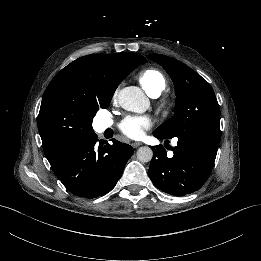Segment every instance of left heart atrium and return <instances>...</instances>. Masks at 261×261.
<instances>
[{
    "label": "left heart atrium",
    "mask_w": 261,
    "mask_h": 261,
    "mask_svg": "<svg viewBox=\"0 0 261 261\" xmlns=\"http://www.w3.org/2000/svg\"><path fill=\"white\" fill-rule=\"evenodd\" d=\"M152 126L148 117H128L120 124V131L129 139H141Z\"/></svg>",
    "instance_id": "left-heart-atrium-1"
}]
</instances>
